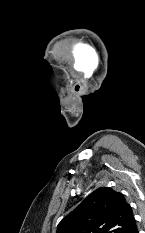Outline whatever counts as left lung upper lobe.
I'll use <instances>...</instances> for the list:
<instances>
[{
    "label": "left lung upper lobe",
    "mask_w": 145,
    "mask_h": 233,
    "mask_svg": "<svg viewBox=\"0 0 145 233\" xmlns=\"http://www.w3.org/2000/svg\"><path fill=\"white\" fill-rule=\"evenodd\" d=\"M136 226L123 194L101 187L64 217L56 233H131Z\"/></svg>",
    "instance_id": "left-lung-upper-lobe-1"
}]
</instances>
